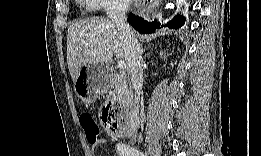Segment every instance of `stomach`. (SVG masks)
Returning a JSON list of instances; mask_svg holds the SVG:
<instances>
[{
	"label": "stomach",
	"instance_id": "stomach-1",
	"mask_svg": "<svg viewBox=\"0 0 261 156\" xmlns=\"http://www.w3.org/2000/svg\"><path fill=\"white\" fill-rule=\"evenodd\" d=\"M109 65L105 63L89 64L79 74L74 89L85 103H93L109 87Z\"/></svg>",
	"mask_w": 261,
	"mask_h": 156
}]
</instances>
